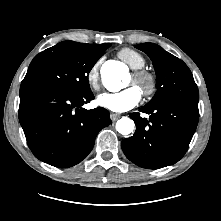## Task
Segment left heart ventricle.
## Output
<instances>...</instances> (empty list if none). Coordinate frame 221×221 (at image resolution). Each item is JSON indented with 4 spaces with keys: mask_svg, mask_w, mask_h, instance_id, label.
I'll return each mask as SVG.
<instances>
[{
    "mask_svg": "<svg viewBox=\"0 0 221 221\" xmlns=\"http://www.w3.org/2000/svg\"><path fill=\"white\" fill-rule=\"evenodd\" d=\"M131 82H133V79H132V77H131V79L129 80L128 84H129V83H131Z\"/></svg>",
    "mask_w": 221,
    "mask_h": 221,
    "instance_id": "1",
    "label": "left heart ventricle"
}]
</instances>
